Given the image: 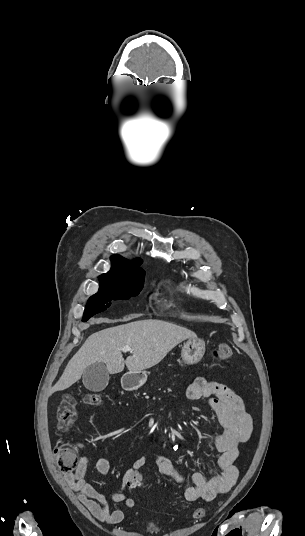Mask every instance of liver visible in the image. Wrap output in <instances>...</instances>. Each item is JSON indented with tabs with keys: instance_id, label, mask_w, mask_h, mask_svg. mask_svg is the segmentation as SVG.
Here are the masks:
<instances>
[{
	"instance_id": "obj_1",
	"label": "liver",
	"mask_w": 305,
	"mask_h": 536,
	"mask_svg": "<svg viewBox=\"0 0 305 536\" xmlns=\"http://www.w3.org/2000/svg\"><path fill=\"white\" fill-rule=\"evenodd\" d=\"M139 316L141 314H136L135 318ZM102 322L113 324L114 320H102ZM188 338L197 336L187 328L162 320H139L96 332L87 338L77 354L68 362L60 380L51 388L49 396L59 390L70 388L80 380L85 368L95 362L106 364L109 374L123 372L124 364L129 372L148 370L159 364L170 350ZM123 346H130L133 350L132 356H128L126 360L121 352Z\"/></svg>"
}]
</instances>
